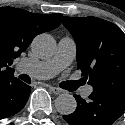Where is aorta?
<instances>
[{"label":"aorta","instance_id":"aorta-1","mask_svg":"<svg viewBox=\"0 0 125 125\" xmlns=\"http://www.w3.org/2000/svg\"><path fill=\"white\" fill-rule=\"evenodd\" d=\"M55 41L48 34H40L31 44L32 51L39 58L51 57L55 52ZM75 98L70 94H61L55 100V108L62 115L72 114L76 109Z\"/></svg>","mask_w":125,"mask_h":125}]
</instances>
